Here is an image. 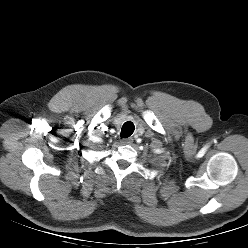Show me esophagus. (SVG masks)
Instances as JSON below:
<instances>
[{"label":"esophagus","instance_id":"34e87169","mask_svg":"<svg viewBox=\"0 0 248 248\" xmlns=\"http://www.w3.org/2000/svg\"><path fill=\"white\" fill-rule=\"evenodd\" d=\"M132 142H133V139L132 138H126V139H123L122 140V143L124 145H130V144H132Z\"/></svg>","mask_w":248,"mask_h":248}]
</instances>
